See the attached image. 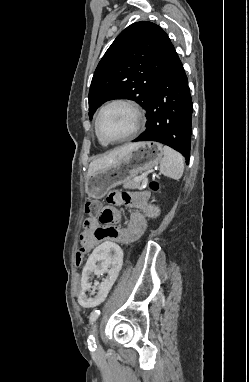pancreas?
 <instances>
[{"mask_svg":"<svg viewBox=\"0 0 249 382\" xmlns=\"http://www.w3.org/2000/svg\"><path fill=\"white\" fill-rule=\"evenodd\" d=\"M141 187V181L135 180V177H129L123 182V188L125 189H139Z\"/></svg>","mask_w":249,"mask_h":382,"instance_id":"obj_1","label":"pancreas"}]
</instances>
